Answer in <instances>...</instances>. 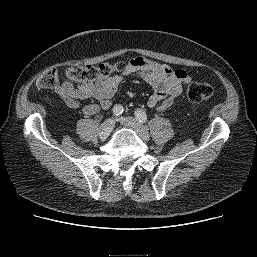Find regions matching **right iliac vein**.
<instances>
[{
  "label": "right iliac vein",
  "mask_w": 257,
  "mask_h": 257,
  "mask_svg": "<svg viewBox=\"0 0 257 257\" xmlns=\"http://www.w3.org/2000/svg\"><path fill=\"white\" fill-rule=\"evenodd\" d=\"M114 125H115V120L112 118L104 121L99 128V136L101 138L107 137L110 134V132L112 131Z\"/></svg>",
  "instance_id": "right-iliac-vein-1"
}]
</instances>
